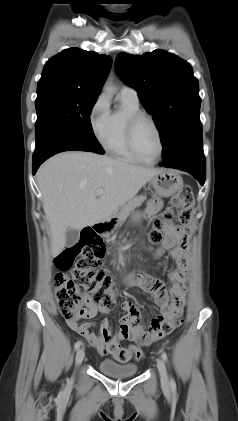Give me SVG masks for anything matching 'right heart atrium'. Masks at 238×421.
Segmentation results:
<instances>
[{
	"mask_svg": "<svg viewBox=\"0 0 238 421\" xmlns=\"http://www.w3.org/2000/svg\"><path fill=\"white\" fill-rule=\"evenodd\" d=\"M109 106L104 94L99 95L90 107L88 119L94 135L101 140L108 123Z\"/></svg>",
	"mask_w": 238,
	"mask_h": 421,
	"instance_id": "d8ad5b80",
	"label": "right heart atrium"
}]
</instances>
